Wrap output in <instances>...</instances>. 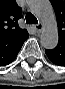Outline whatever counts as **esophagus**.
Returning a JSON list of instances; mask_svg holds the SVG:
<instances>
[{"mask_svg": "<svg viewBox=\"0 0 65 89\" xmlns=\"http://www.w3.org/2000/svg\"><path fill=\"white\" fill-rule=\"evenodd\" d=\"M34 28L36 29L37 33H39L42 30V24L41 23L35 24Z\"/></svg>", "mask_w": 65, "mask_h": 89, "instance_id": "obj_1", "label": "esophagus"}]
</instances>
